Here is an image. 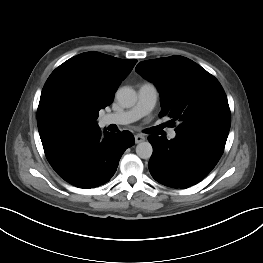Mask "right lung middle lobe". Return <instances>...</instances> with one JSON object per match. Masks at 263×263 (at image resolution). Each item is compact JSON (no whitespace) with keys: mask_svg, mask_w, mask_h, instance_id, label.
Here are the masks:
<instances>
[{"mask_svg":"<svg viewBox=\"0 0 263 263\" xmlns=\"http://www.w3.org/2000/svg\"><path fill=\"white\" fill-rule=\"evenodd\" d=\"M98 111L81 98L62 92L45 109L47 132L53 137L78 133L98 127Z\"/></svg>","mask_w":263,"mask_h":263,"instance_id":"obj_1","label":"right lung middle lobe"}]
</instances>
